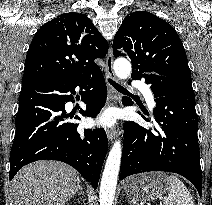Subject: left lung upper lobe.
Returning <instances> with one entry per match:
<instances>
[{
  "label": "left lung upper lobe",
  "instance_id": "1",
  "mask_svg": "<svg viewBox=\"0 0 212 205\" xmlns=\"http://www.w3.org/2000/svg\"><path fill=\"white\" fill-rule=\"evenodd\" d=\"M113 54L131 59L132 77L156 73L191 82L186 53L177 32L149 12L137 11L126 16L114 37Z\"/></svg>",
  "mask_w": 212,
  "mask_h": 205
}]
</instances>
